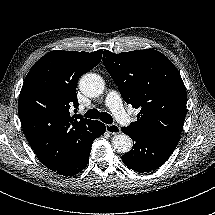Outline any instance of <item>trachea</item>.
Segmentation results:
<instances>
[{
	"mask_svg": "<svg viewBox=\"0 0 215 215\" xmlns=\"http://www.w3.org/2000/svg\"><path fill=\"white\" fill-rule=\"evenodd\" d=\"M85 117L89 119H100L102 122L107 124H111L113 120L110 114L107 112H100L97 109H90L86 112Z\"/></svg>",
	"mask_w": 215,
	"mask_h": 215,
	"instance_id": "obj_1",
	"label": "trachea"
}]
</instances>
